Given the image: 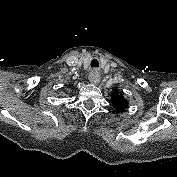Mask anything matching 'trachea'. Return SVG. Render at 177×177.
<instances>
[{"instance_id":"obj_1","label":"trachea","mask_w":177,"mask_h":177,"mask_svg":"<svg viewBox=\"0 0 177 177\" xmlns=\"http://www.w3.org/2000/svg\"><path fill=\"white\" fill-rule=\"evenodd\" d=\"M98 66H99L98 61H97L96 59H93V60L91 61V67H98Z\"/></svg>"}]
</instances>
